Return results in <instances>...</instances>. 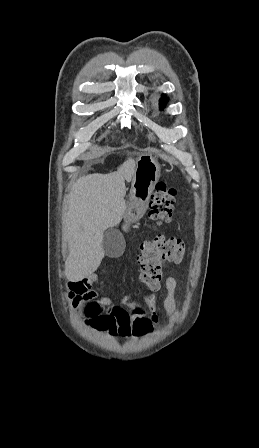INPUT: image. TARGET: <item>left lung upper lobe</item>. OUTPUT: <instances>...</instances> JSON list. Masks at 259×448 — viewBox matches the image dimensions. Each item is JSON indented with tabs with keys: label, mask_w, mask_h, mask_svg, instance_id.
Masks as SVG:
<instances>
[{
	"label": "left lung upper lobe",
	"mask_w": 259,
	"mask_h": 448,
	"mask_svg": "<svg viewBox=\"0 0 259 448\" xmlns=\"http://www.w3.org/2000/svg\"><path fill=\"white\" fill-rule=\"evenodd\" d=\"M167 98L165 96L160 100V108L163 109L166 105Z\"/></svg>",
	"instance_id": "1"
}]
</instances>
